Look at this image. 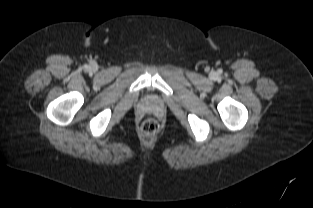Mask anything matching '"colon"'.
Instances as JSON below:
<instances>
[{
  "label": "colon",
  "mask_w": 313,
  "mask_h": 208,
  "mask_svg": "<svg viewBox=\"0 0 313 208\" xmlns=\"http://www.w3.org/2000/svg\"><path fill=\"white\" fill-rule=\"evenodd\" d=\"M160 125L155 119H147L141 125V132L143 136L151 138L157 135Z\"/></svg>",
  "instance_id": "5ec220e1"
}]
</instances>
